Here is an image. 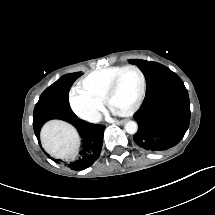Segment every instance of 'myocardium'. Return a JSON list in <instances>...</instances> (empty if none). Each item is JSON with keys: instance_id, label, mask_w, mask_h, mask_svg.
Wrapping results in <instances>:
<instances>
[{"instance_id": "1", "label": "myocardium", "mask_w": 215, "mask_h": 215, "mask_svg": "<svg viewBox=\"0 0 215 215\" xmlns=\"http://www.w3.org/2000/svg\"><path fill=\"white\" fill-rule=\"evenodd\" d=\"M124 71H131L137 77V85H136L134 97L132 101H130L128 104H125L122 106L113 105L112 99L119 87L120 77L123 75ZM144 86H145V79L141 70L138 67L134 65L120 66L117 68L116 74L112 78V83L106 91V95L103 98L102 106L105 109H107V111L111 114L122 115V116L132 115L140 108V102L142 100L143 93H144Z\"/></svg>"}]
</instances>
